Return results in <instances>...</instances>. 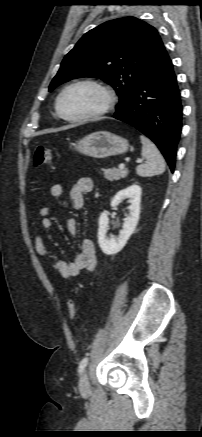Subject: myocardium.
<instances>
[{"mask_svg": "<svg viewBox=\"0 0 202 437\" xmlns=\"http://www.w3.org/2000/svg\"><path fill=\"white\" fill-rule=\"evenodd\" d=\"M82 85H88V86H92V87L98 89L104 96V103L96 111H93V112H90V113H87L84 115L76 116V117H69V116L65 115L61 109V100H62L63 96L66 94V92H68L70 89L77 87V86H82ZM116 100H117L116 94L110 87H108V86L104 85L103 83L98 82L96 80L81 79V80L74 81V82L70 83L69 85H67L65 88H63V90L57 96L55 107H56V112L59 115V117H61L65 121L73 122V123L87 122V121L100 119L104 115L108 114L115 106Z\"/></svg>", "mask_w": 202, "mask_h": 437, "instance_id": "myocardium-1", "label": "myocardium"}]
</instances>
